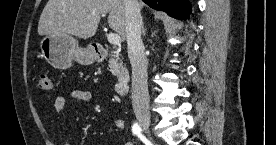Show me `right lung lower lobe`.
<instances>
[{
    "label": "right lung lower lobe",
    "instance_id": "obj_1",
    "mask_svg": "<svg viewBox=\"0 0 276 145\" xmlns=\"http://www.w3.org/2000/svg\"><path fill=\"white\" fill-rule=\"evenodd\" d=\"M150 7L164 11L176 19H185L189 16L191 5L187 0H142Z\"/></svg>",
    "mask_w": 276,
    "mask_h": 145
}]
</instances>
